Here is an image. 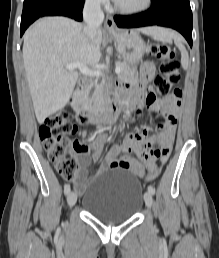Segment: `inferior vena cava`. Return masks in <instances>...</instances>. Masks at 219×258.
I'll use <instances>...</instances> for the list:
<instances>
[{
  "instance_id": "602c4592",
  "label": "inferior vena cava",
  "mask_w": 219,
  "mask_h": 258,
  "mask_svg": "<svg viewBox=\"0 0 219 258\" xmlns=\"http://www.w3.org/2000/svg\"><path fill=\"white\" fill-rule=\"evenodd\" d=\"M83 18L85 21L84 33L92 41L104 19L100 0H86L83 9Z\"/></svg>"
}]
</instances>
